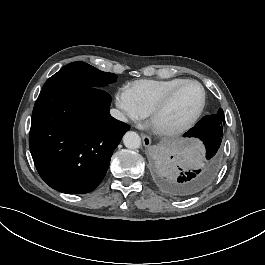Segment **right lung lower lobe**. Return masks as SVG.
Instances as JSON below:
<instances>
[{
	"label": "right lung lower lobe",
	"instance_id": "obj_1",
	"mask_svg": "<svg viewBox=\"0 0 265 265\" xmlns=\"http://www.w3.org/2000/svg\"><path fill=\"white\" fill-rule=\"evenodd\" d=\"M111 97L99 88L44 89L35 103L30 152L41 178L67 194L93 191L129 125L109 114Z\"/></svg>",
	"mask_w": 265,
	"mask_h": 265
}]
</instances>
